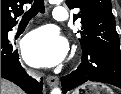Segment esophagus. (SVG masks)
Returning a JSON list of instances; mask_svg holds the SVG:
<instances>
[{
	"label": "esophagus",
	"instance_id": "1",
	"mask_svg": "<svg viewBox=\"0 0 121 94\" xmlns=\"http://www.w3.org/2000/svg\"><path fill=\"white\" fill-rule=\"evenodd\" d=\"M46 81L50 87H55L59 84V78L57 76H48Z\"/></svg>",
	"mask_w": 121,
	"mask_h": 94
}]
</instances>
